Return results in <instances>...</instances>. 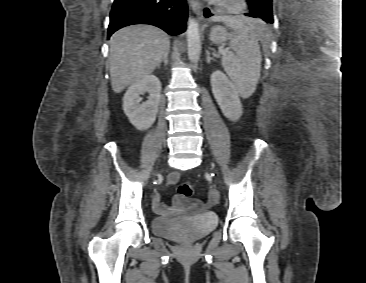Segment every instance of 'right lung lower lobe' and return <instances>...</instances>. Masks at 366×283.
<instances>
[{"mask_svg":"<svg viewBox=\"0 0 366 283\" xmlns=\"http://www.w3.org/2000/svg\"><path fill=\"white\" fill-rule=\"evenodd\" d=\"M186 0H114L108 38L118 29L134 24H151L170 35L185 31Z\"/></svg>","mask_w":366,"mask_h":283,"instance_id":"right-lung-lower-lobe-1","label":"right lung lower lobe"}]
</instances>
